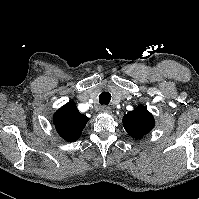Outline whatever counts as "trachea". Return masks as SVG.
<instances>
[{
    "mask_svg": "<svg viewBox=\"0 0 199 199\" xmlns=\"http://www.w3.org/2000/svg\"><path fill=\"white\" fill-rule=\"evenodd\" d=\"M111 100V94L109 92H102L99 96V103L102 105H108Z\"/></svg>",
    "mask_w": 199,
    "mask_h": 199,
    "instance_id": "1",
    "label": "trachea"
}]
</instances>
